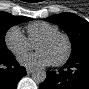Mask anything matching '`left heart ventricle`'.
<instances>
[{"mask_svg": "<svg viewBox=\"0 0 89 89\" xmlns=\"http://www.w3.org/2000/svg\"><path fill=\"white\" fill-rule=\"evenodd\" d=\"M38 51H44L48 54L52 62L61 59L67 50L66 41L62 37H57L48 42H40L35 47Z\"/></svg>", "mask_w": 89, "mask_h": 89, "instance_id": "1", "label": "left heart ventricle"}]
</instances>
